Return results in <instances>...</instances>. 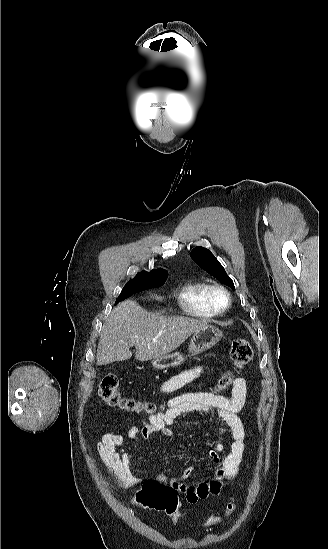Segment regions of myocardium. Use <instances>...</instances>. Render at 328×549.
Here are the masks:
<instances>
[{
	"label": "myocardium",
	"mask_w": 328,
	"mask_h": 549,
	"mask_svg": "<svg viewBox=\"0 0 328 549\" xmlns=\"http://www.w3.org/2000/svg\"><path fill=\"white\" fill-rule=\"evenodd\" d=\"M223 294L226 297V303L223 307H219L216 303V296ZM207 302L209 304V310L215 316H220L228 312L232 305V295L227 287L221 284L209 285L206 292Z\"/></svg>",
	"instance_id": "f54148a6"
}]
</instances>
